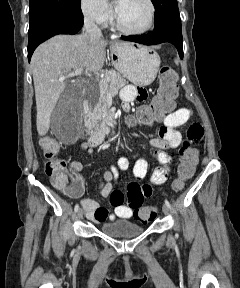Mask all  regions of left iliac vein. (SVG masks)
<instances>
[{
	"label": "left iliac vein",
	"mask_w": 240,
	"mask_h": 288,
	"mask_svg": "<svg viewBox=\"0 0 240 288\" xmlns=\"http://www.w3.org/2000/svg\"><path fill=\"white\" fill-rule=\"evenodd\" d=\"M162 211H163V213H164L165 215H168V214H169V208H168L165 204L162 206ZM169 239H170V240L172 239V236H171V235H169Z\"/></svg>",
	"instance_id": "4c4485c4"
}]
</instances>
